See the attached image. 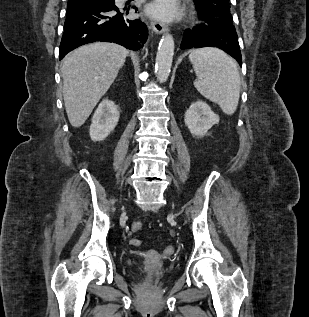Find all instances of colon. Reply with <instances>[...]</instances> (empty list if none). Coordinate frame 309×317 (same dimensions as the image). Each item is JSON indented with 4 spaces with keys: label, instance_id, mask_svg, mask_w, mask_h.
Here are the masks:
<instances>
[{
    "label": "colon",
    "instance_id": "obj_1",
    "mask_svg": "<svg viewBox=\"0 0 309 317\" xmlns=\"http://www.w3.org/2000/svg\"><path fill=\"white\" fill-rule=\"evenodd\" d=\"M131 229H132L133 232H137V231L141 230L142 229V223L140 221L133 222L132 225H131ZM141 243H142L141 240L136 239V238L130 240V244L132 246H135V247L140 246ZM166 251L167 252H171L172 249L170 247H168L166 249Z\"/></svg>",
    "mask_w": 309,
    "mask_h": 317
}]
</instances>
